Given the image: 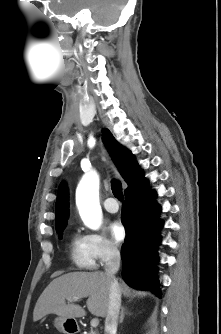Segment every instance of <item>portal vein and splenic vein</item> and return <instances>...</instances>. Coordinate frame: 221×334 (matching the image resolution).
Here are the masks:
<instances>
[{
    "label": "portal vein and splenic vein",
    "instance_id": "1",
    "mask_svg": "<svg viewBox=\"0 0 221 334\" xmlns=\"http://www.w3.org/2000/svg\"><path fill=\"white\" fill-rule=\"evenodd\" d=\"M69 302H72V301H78V298H69L67 299ZM99 324V319L98 318H93L91 320V326L92 327H97Z\"/></svg>",
    "mask_w": 221,
    "mask_h": 334
}]
</instances>
